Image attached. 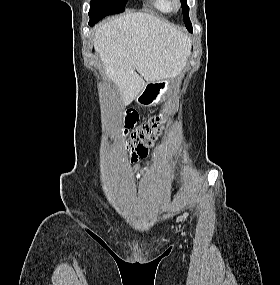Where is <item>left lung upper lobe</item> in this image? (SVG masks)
<instances>
[{
    "mask_svg": "<svg viewBox=\"0 0 280 285\" xmlns=\"http://www.w3.org/2000/svg\"><path fill=\"white\" fill-rule=\"evenodd\" d=\"M183 16H184V23L186 28L190 31L192 30V24L189 19V7L186 4V0H181Z\"/></svg>",
    "mask_w": 280,
    "mask_h": 285,
    "instance_id": "5c2ea615",
    "label": "left lung upper lobe"
}]
</instances>
